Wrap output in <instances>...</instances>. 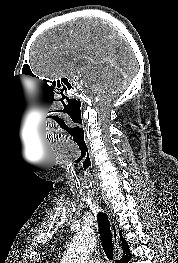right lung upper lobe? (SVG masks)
<instances>
[{
  "label": "right lung upper lobe",
  "instance_id": "obj_1",
  "mask_svg": "<svg viewBox=\"0 0 178 263\" xmlns=\"http://www.w3.org/2000/svg\"><path fill=\"white\" fill-rule=\"evenodd\" d=\"M120 235H121V231H120ZM121 241H123L122 246H123V253L126 254L129 250V246L127 245V242L125 241V239H123L121 237Z\"/></svg>",
  "mask_w": 178,
  "mask_h": 263
}]
</instances>
